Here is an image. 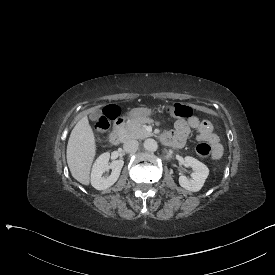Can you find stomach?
Wrapping results in <instances>:
<instances>
[{"instance_id": "obj_1", "label": "stomach", "mask_w": 275, "mask_h": 275, "mask_svg": "<svg viewBox=\"0 0 275 275\" xmlns=\"http://www.w3.org/2000/svg\"><path fill=\"white\" fill-rule=\"evenodd\" d=\"M160 113V110L147 108V107H137L132 108L128 111L127 115L129 119H141L150 118L156 116Z\"/></svg>"}]
</instances>
